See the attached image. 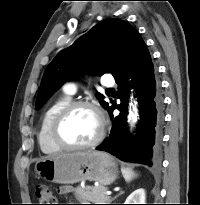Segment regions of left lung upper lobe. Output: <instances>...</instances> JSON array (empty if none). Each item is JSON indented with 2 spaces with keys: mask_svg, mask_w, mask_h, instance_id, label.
Instances as JSON below:
<instances>
[{
  "mask_svg": "<svg viewBox=\"0 0 200 205\" xmlns=\"http://www.w3.org/2000/svg\"><path fill=\"white\" fill-rule=\"evenodd\" d=\"M133 27L119 19H105L70 47L60 51L47 66L36 99V109H40L48 98L67 80L86 70L82 59L86 54H93L95 60L90 70L95 75L113 73L126 53L134 35ZM97 98L105 109L109 104L104 96L97 93Z\"/></svg>",
  "mask_w": 200,
  "mask_h": 205,
  "instance_id": "1",
  "label": "left lung upper lobe"
}]
</instances>
